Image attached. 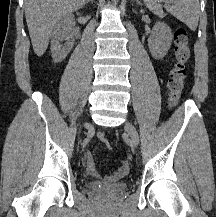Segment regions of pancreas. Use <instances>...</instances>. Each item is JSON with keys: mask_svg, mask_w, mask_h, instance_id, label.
<instances>
[{"mask_svg": "<svg viewBox=\"0 0 216 217\" xmlns=\"http://www.w3.org/2000/svg\"><path fill=\"white\" fill-rule=\"evenodd\" d=\"M157 0H145L146 6L157 16L164 17L165 14L161 5L156 3Z\"/></svg>", "mask_w": 216, "mask_h": 217, "instance_id": "obj_1", "label": "pancreas"}]
</instances>
